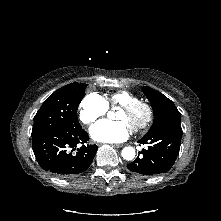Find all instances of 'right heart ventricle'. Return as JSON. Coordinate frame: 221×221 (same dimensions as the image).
<instances>
[{"instance_id": "right-heart-ventricle-1", "label": "right heart ventricle", "mask_w": 221, "mask_h": 221, "mask_svg": "<svg viewBox=\"0 0 221 221\" xmlns=\"http://www.w3.org/2000/svg\"><path fill=\"white\" fill-rule=\"evenodd\" d=\"M105 102L109 106H116V105H124L131 102H135L138 100V96L135 94L127 91V90H118L113 93L107 94L104 97Z\"/></svg>"}]
</instances>
